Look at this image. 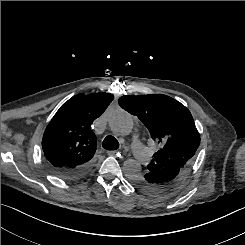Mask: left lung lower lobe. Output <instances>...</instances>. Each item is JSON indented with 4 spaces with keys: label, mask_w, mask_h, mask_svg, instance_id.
Masks as SVG:
<instances>
[{
    "label": "left lung lower lobe",
    "mask_w": 245,
    "mask_h": 245,
    "mask_svg": "<svg viewBox=\"0 0 245 245\" xmlns=\"http://www.w3.org/2000/svg\"><path fill=\"white\" fill-rule=\"evenodd\" d=\"M184 172L179 167L170 166L149 173L147 177L152 185L153 195L163 194L174 188Z\"/></svg>",
    "instance_id": "0a47b994"
}]
</instances>
